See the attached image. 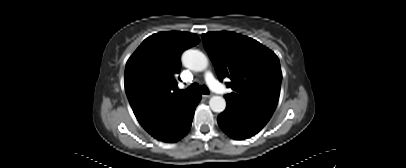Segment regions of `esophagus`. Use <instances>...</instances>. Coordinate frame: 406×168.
Listing matches in <instances>:
<instances>
[{"label":"esophagus","instance_id":"obj_1","mask_svg":"<svg viewBox=\"0 0 406 168\" xmlns=\"http://www.w3.org/2000/svg\"><path fill=\"white\" fill-rule=\"evenodd\" d=\"M202 97L208 99L211 97V95L204 94V95H202Z\"/></svg>","mask_w":406,"mask_h":168}]
</instances>
